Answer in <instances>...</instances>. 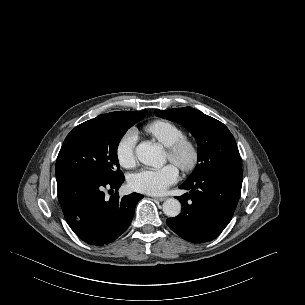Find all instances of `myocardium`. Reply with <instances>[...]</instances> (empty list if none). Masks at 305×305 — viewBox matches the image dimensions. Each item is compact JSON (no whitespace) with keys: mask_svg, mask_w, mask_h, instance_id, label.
<instances>
[{"mask_svg":"<svg viewBox=\"0 0 305 305\" xmlns=\"http://www.w3.org/2000/svg\"><path fill=\"white\" fill-rule=\"evenodd\" d=\"M169 160L183 171L192 170L198 159L196 144L187 138H182L167 149Z\"/></svg>","mask_w":305,"mask_h":305,"instance_id":"myocardium-1","label":"myocardium"}]
</instances>
